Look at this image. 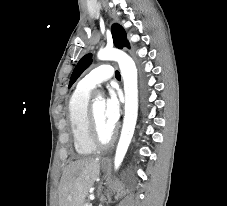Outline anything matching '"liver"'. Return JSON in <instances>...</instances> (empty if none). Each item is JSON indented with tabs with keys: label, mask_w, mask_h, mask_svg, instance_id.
I'll return each mask as SVG.
<instances>
[{
	"label": "liver",
	"mask_w": 227,
	"mask_h": 206,
	"mask_svg": "<svg viewBox=\"0 0 227 206\" xmlns=\"http://www.w3.org/2000/svg\"><path fill=\"white\" fill-rule=\"evenodd\" d=\"M99 171L98 157H86L71 162L64 169L59 184V206H82Z\"/></svg>",
	"instance_id": "6515ba94"
}]
</instances>
